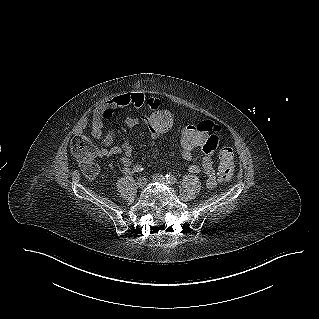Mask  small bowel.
Instances as JSON below:
<instances>
[{
    "label": "small bowel",
    "instance_id": "1",
    "mask_svg": "<svg viewBox=\"0 0 319 319\" xmlns=\"http://www.w3.org/2000/svg\"><path fill=\"white\" fill-rule=\"evenodd\" d=\"M145 104H147L151 108L152 113H171L172 111L171 104H161V101L154 98H150L146 101L142 93L132 92L121 94L105 101L95 109L94 115L92 116L91 137L97 141H100L102 139V130H106L111 125V117H115L117 114L116 108L124 106L141 107ZM148 117L149 115H141L139 118H129L126 121V126L128 129H130L136 126L140 121L147 124ZM112 123H115V120H112ZM87 127L88 122L86 120L81 121L80 124L73 131V135L75 137H86L85 130L87 129ZM150 134L153 138L159 137L153 134L151 131ZM223 136L224 132L222 129H215L214 132L211 133L210 138L206 140L203 146V152L205 156L202 159V167L200 168L198 165L195 164L189 167V171L193 174L199 173L202 170L207 176V185L210 188L215 187L218 180L223 179V177H220L219 179L217 178L214 169V161L212 158V154L215 151L217 145H219L220 139H222ZM133 151L134 148L130 140L126 137L120 145L101 148L99 150V156L109 157L113 155H122V164L124 166V170L126 173H131L134 169L132 168L131 159ZM182 156L187 161H190L193 158V154L186 155L182 153Z\"/></svg>",
    "mask_w": 319,
    "mask_h": 319
}]
</instances>
